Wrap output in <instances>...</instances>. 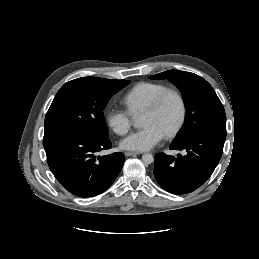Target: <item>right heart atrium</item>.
Returning <instances> with one entry per match:
<instances>
[{"label": "right heart atrium", "instance_id": "1", "mask_svg": "<svg viewBox=\"0 0 259 259\" xmlns=\"http://www.w3.org/2000/svg\"><path fill=\"white\" fill-rule=\"evenodd\" d=\"M106 122L117 135H125L131 128L133 115L128 110L111 108L106 112Z\"/></svg>", "mask_w": 259, "mask_h": 259}]
</instances>
